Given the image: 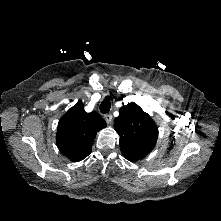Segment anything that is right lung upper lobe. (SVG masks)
<instances>
[{"mask_svg": "<svg viewBox=\"0 0 221 221\" xmlns=\"http://www.w3.org/2000/svg\"><path fill=\"white\" fill-rule=\"evenodd\" d=\"M105 127L106 122L97 112H85L83 103L78 102L58 123L57 147L71 161H81L91 153L97 132Z\"/></svg>", "mask_w": 221, "mask_h": 221, "instance_id": "cb5924a9", "label": "right lung upper lobe"}]
</instances>
